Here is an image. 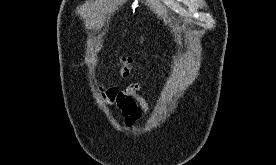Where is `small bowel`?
Here are the masks:
<instances>
[{
	"label": "small bowel",
	"mask_w": 276,
	"mask_h": 165,
	"mask_svg": "<svg viewBox=\"0 0 276 165\" xmlns=\"http://www.w3.org/2000/svg\"><path fill=\"white\" fill-rule=\"evenodd\" d=\"M143 85L131 82L125 88L106 87L102 90V99L115 105L121 111L127 126L134 125L142 116L150 114L149 103L140 95Z\"/></svg>",
	"instance_id": "c3829d8e"
}]
</instances>
